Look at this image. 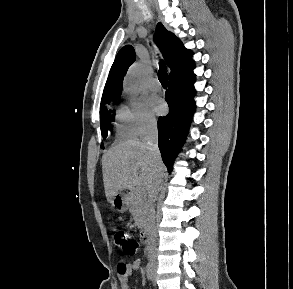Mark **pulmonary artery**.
Returning <instances> with one entry per match:
<instances>
[{
	"instance_id": "e3ab8cb5",
	"label": "pulmonary artery",
	"mask_w": 293,
	"mask_h": 289,
	"mask_svg": "<svg viewBox=\"0 0 293 289\" xmlns=\"http://www.w3.org/2000/svg\"><path fill=\"white\" fill-rule=\"evenodd\" d=\"M161 83L160 81L158 80V78H152L149 82V88L152 90V91H160L161 90Z\"/></svg>"
}]
</instances>
